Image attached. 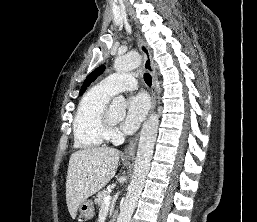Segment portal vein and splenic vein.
<instances>
[{
  "mask_svg": "<svg viewBox=\"0 0 257 222\" xmlns=\"http://www.w3.org/2000/svg\"><path fill=\"white\" fill-rule=\"evenodd\" d=\"M111 199L112 198H111L110 195L105 196L104 197V204H103L102 208L109 207Z\"/></svg>",
  "mask_w": 257,
  "mask_h": 222,
  "instance_id": "portal-vein-and-splenic-vein-1",
  "label": "portal vein and splenic vein"
}]
</instances>
